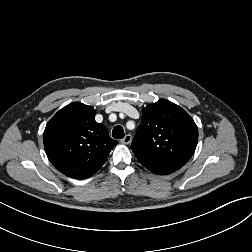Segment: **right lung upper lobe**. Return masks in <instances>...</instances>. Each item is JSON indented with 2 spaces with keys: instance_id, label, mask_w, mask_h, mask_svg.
<instances>
[{
  "instance_id": "1",
  "label": "right lung upper lobe",
  "mask_w": 252,
  "mask_h": 252,
  "mask_svg": "<svg viewBox=\"0 0 252 252\" xmlns=\"http://www.w3.org/2000/svg\"><path fill=\"white\" fill-rule=\"evenodd\" d=\"M93 107L74 102L59 110L47 123L43 142L50 162L75 179L95 174L118 142L106 126L95 121Z\"/></svg>"
}]
</instances>
